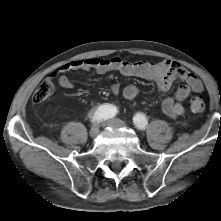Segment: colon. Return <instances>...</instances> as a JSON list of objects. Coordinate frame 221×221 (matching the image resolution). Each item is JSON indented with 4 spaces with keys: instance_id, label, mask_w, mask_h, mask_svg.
Here are the masks:
<instances>
[{
    "instance_id": "colon-1",
    "label": "colon",
    "mask_w": 221,
    "mask_h": 221,
    "mask_svg": "<svg viewBox=\"0 0 221 221\" xmlns=\"http://www.w3.org/2000/svg\"><path fill=\"white\" fill-rule=\"evenodd\" d=\"M55 85L52 78L44 79L36 88L32 95L34 103H41L47 100L54 92ZM190 107L194 113H202L205 109V104L202 98L195 96L190 100Z\"/></svg>"
}]
</instances>
